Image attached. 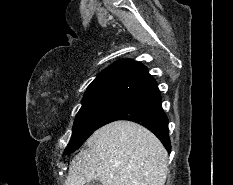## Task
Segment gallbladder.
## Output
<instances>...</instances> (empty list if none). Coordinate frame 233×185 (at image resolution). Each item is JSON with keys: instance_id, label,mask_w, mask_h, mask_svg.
Wrapping results in <instances>:
<instances>
[{"instance_id": "1", "label": "gallbladder", "mask_w": 233, "mask_h": 185, "mask_svg": "<svg viewBox=\"0 0 233 185\" xmlns=\"http://www.w3.org/2000/svg\"><path fill=\"white\" fill-rule=\"evenodd\" d=\"M86 185H101V182L98 179H95L87 183Z\"/></svg>"}]
</instances>
